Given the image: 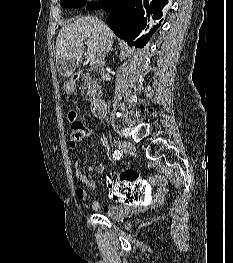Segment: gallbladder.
I'll return each instance as SVG.
<instances>
[{
	"label": "gallbladder",
	"instance_id": "bac80fb5",
	"mask_svg": "<svg viewBox=\"0 0 233 263\" xmlns=\"http://www.w3.org/2000/svg\"><path fill=\"white\" fill-rule=\"evenodd\" d=\"M61 60L57 62V69L60 71Z\"/></svg>",
	"mask_w": 233,
	"mask_h": 263
}]
</instances>
